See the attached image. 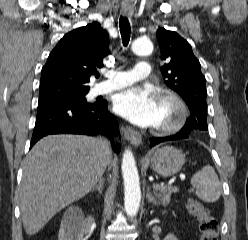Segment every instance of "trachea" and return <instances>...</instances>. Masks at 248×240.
I'll return each instance as SVG.
<instances>
[{
  "label": "trachea",
  "mask_w": 248,
  "mask_h": 240,
  "mask_svg": "<svg viewBox=\"0 0 248 240\" xmlns=\"http://www.w3.org/2000/svg\"><path fill=\"white\" fill-rule=\"evenodd\" d=\"M119 27H120L123 45L127 46L130 41V34H131L130 23L127 17H123V16L120 17Z\"/></svg>",
  "instance_id": "3493384b"
}]
</instances>
